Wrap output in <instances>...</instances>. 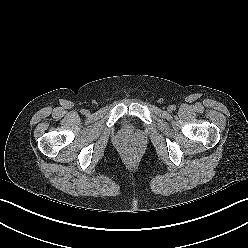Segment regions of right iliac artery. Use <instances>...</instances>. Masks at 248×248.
<instances>
[{
  "mask_svg": "<svg viewBox=\"0 0 248 248\" xmlns=\"http://www.w3.org/2000/svg\"><path fill=\"white\" fill-rule=\"evenodd\" d=\"M85 109H82L80 112L82 113V114H85Z\"/></svg>",
  "mask_w": 248,
  "mask_h": 248,
  "instance_id": "1",
  "label": "right iliac artery"
}]
</instances>
